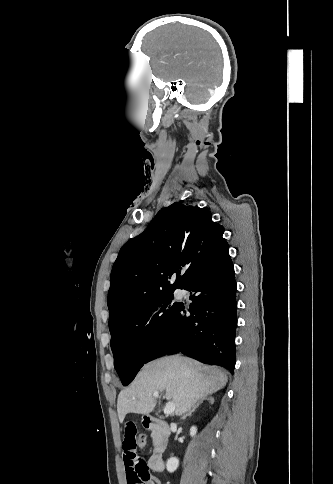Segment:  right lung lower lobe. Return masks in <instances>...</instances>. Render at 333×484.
Wrapping results in <instances>:
<instances>
[{
  "instance_id": "98d812e1",
  "label": "right lung lower lobe",
  "mask_w": 333,
  "mask_h": 484,
  "mask_svg": "<svg viewBox=\"0 0 333 484\" xmlns=\"http://www.w3.org/2000/svg\"><path fill=\"white\" fill-rule=\"evenodd\" d=\"M183 289L194 292L189 310L179 305L170 327L145 363L181 352L204 363L224 366L233 373L237 303L228 244Z\"/></svg>"
}]
</instances>
